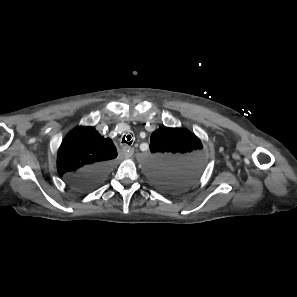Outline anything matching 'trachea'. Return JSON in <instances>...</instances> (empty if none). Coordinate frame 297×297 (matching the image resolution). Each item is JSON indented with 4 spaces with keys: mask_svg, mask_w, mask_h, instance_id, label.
Returning <instances> with one entry per match:
<instances>
[{
    "mask_svg": "<svg viewBox=\"0 0 297 297\" xmlns=\"http://www.w3.org/2000/svg\"><path fill=\"white\" fill-rule=\"evenodd\" d=\"M131 138H132L131 135L124 136L122 138V143H126L128 145H131L132 144Z\"/></svg>",
    "mask_w": 297,
    "mask_h": 297,
    "instance_id": "trachea-1",
    "label": "trachea"
}]
</instances>
